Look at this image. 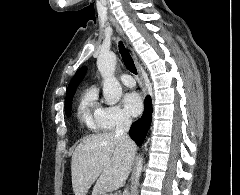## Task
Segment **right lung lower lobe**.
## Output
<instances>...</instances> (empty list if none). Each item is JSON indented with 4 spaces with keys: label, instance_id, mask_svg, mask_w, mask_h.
<instances>
[{
    "label": "right lung lower lobe",
    "instance_id": "obj_1",
    "mask_svg": "<svg viewBox=\"0 0 240 195\" xmlns=\"http://www.w3.org/2000/svg\"><path fill=\"white\" fill-rule=\"evenodd\" d=\"M152 104L150 96H147L144 101V113L142 117L134 122L130 128V137L138 146L144 141L152 120Z\"/></svg>",
    "mask_w": 240,
    "mask_h": 195
}]
</instances>
